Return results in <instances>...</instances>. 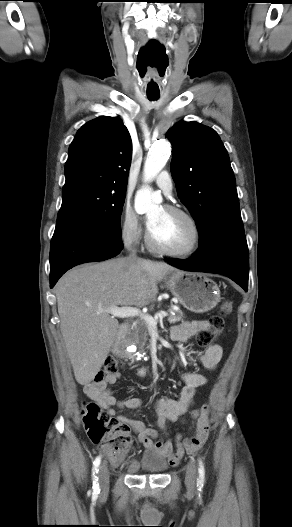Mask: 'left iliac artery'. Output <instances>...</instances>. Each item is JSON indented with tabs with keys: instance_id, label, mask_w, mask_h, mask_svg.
I'll return each mask as SVG.
<instances>
[{
	"instance_id": "1",
	"label": "left iliac artery",
	"mask_w": 292,
	"mask_h": 527,
	"mask_svg": "<svg viewBox=\"0 0 292 527\" xmlns=\"http://www.w3.org/2000/svg\"><path fill=\"white\" fill-rule=\"evenodd\" d=\"M198 472H199V478L197 480V486L201 489V487L203 486V482H204V475H205V472H204V466H203V463L201 460H199V469H198Z\"/></svg>"
}]
</instances>
